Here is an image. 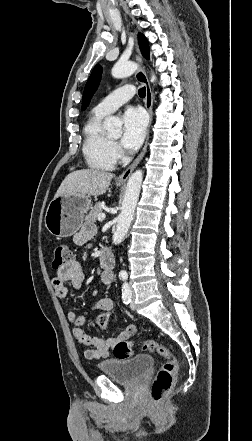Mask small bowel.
I'll list each match as a JSON object with an SVG mask.
<instances>
[{
  "mask_svg": "<svg viewBox=\"0 0 252 441\" xmlns=\"http://www.w3.org/2000/svg\"><path fill=\"white\" fill-rule=\"evenodd\" d=\"M96 234V229L91 225H86L74 236V243L83 245L91 240ZM101 281L104 285H111L113 282V273L111 271H102ZM84 282V273L80 263L72 260L62 268L58 269L56 275L52 280L56 295L64 300L68 297L67 283H70L74 289L81 290ZM108 303L114 304L111 298H103L91 305V309L99 311L103 309ZM86 312L77 314L70 310L67 313V319L74 325L73 334L79 343L85 345L87 348L84 351V356L87 359H104L110 356L116 344L133 336L136 328L133 325L127 326L123 331L114 337L102 339L99 337H91L83 330V325L86 320Z\"/></svg>",
  "mask_w": 252,
  "mask_h": 441,
  "instance_id": "small-bowel-1",
  "label": "small bowel"
}]
</instances>
